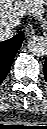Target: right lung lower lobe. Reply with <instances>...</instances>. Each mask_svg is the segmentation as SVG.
I'll return each instance as SVG.
<instances>
[{
	"label": "right lung lower lobe",
	"instance_id": "98d812e1",
	"mask_svg": "<svg viewBox=\"0 0 47 129\" xmlns=\"http://www.w3.org/2000/svg\"><path fill=\"white\" fill-rule=\"evenodd\" d=\"M24 38L21 32L9 40L0 42V84L7 76L16 52L20 48Z\"/></svg>",
	"mask_w": 47,
	"mask_h": 129
}]
</instances>
